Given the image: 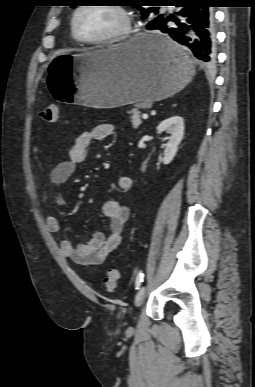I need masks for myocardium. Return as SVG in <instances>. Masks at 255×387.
I'll list each match as a JSON object with an SVG mask.
<instances>
[{"label": "myocardium", "instance_id": "1", "mask_svg": "<svg viewBox=\"0 0 255 387\" xmlns=\"http://www.w3.org/2000/svg\"><path fill=\"white\" fill-rule=\"evenodd\" d=\"M90 6H93V5H87V4L80 5L79 7H77L75 9V11L73 12V15H72L71 31H72L73 36L79 42L84 43V44H89V45H104V44L118 43V42H121L129 37V35L132 31V21H133L132 15L125 6L117 5V4L102 5V6L109 7L111 9L115 10L121 16L122 24L117 31H115L114 33L107 35L105 37L96 38V39H89V38L83 37L79 33L78 28H77V17L82 10H84Z\"/></svg>", "mask_w": 255, "mask_h": 387}]
</instances>
